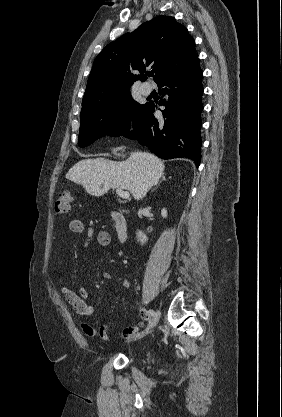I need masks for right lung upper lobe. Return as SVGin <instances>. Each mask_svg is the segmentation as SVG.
Masks as SVG:
<instances>
[{"mask_svg": "<svg viewBox=\"0 0 282 417\" xmlns=\"http://www.w3.org/2000/svg\"><path fill=\"white\" fill-rule=\"evenodd\" d=\"M198 59L195 43L187 29L170 16H158L132 33L108 44L94 60L83 99L127 91L143 79L146 67L160 80ZM133 70L141 74L131 73Z\"/></svg>", "mask_w": 282, "mask_h": 417, "instance_id": "right-lung-upper-lobe-1", "label": "right lung upper lobe"}]
</instances>
